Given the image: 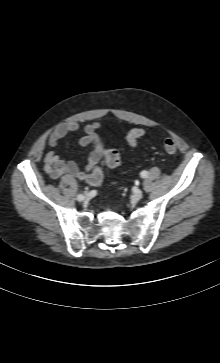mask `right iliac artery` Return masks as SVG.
I'll list each match as a JSON object with an SVG mask.
<instances>
[{"instance_id": "1", "label": "right iliac artery", "mask_w": 220, "mask_h": 363, "mask_svg": "<svg viewBox=\"0 0 220 363\" xmlns=\"http://www.w3.org/2000/svg\"><path fill=\"white\" fill-rule=\"evenodd\" d=\"M84 199V196L82 194L78 195L77 196V200L78 201H82Z\"/></svg>"}]
</instances>
